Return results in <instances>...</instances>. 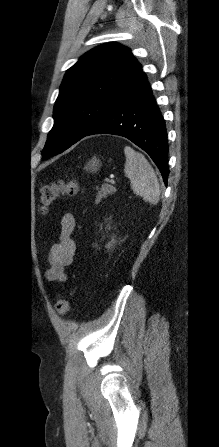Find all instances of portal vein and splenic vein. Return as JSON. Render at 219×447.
Masks as SVG:
<instances>
[{"label": "portal vein and splenic vein", "instance_id": "18ae733b", "mask_svg": "<svg viewBox=\"0 0 219 447\" xmlns=\"http://www.w3.org/2000/svg\"><path fill=\"white\" fill-rule=\"evenodd\" d=\"M109 183H110L111 185H115V184H116V182H115L113 179L109 180Z\"/></svg>", "mask_w": 219, "mask_h": 447}]
</instances>
